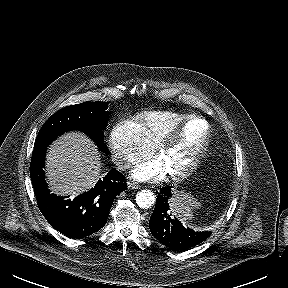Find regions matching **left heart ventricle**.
<instances>
[{
    "label": "left heart ventricle",
    "mask_w": 288,
    "mask_h": 288,
    "mask_svg": "<svg viewBox=\"0 0 288 288\" xmlns=\"http://www.w3.org/2000/svg\"><path fill=\"white\" fill-rule=\"evenodd\" d=\"M205 132L204 122L194 120L188 123L175 141L160 155L159 159L165 170L170 173L184 167L201 145Z\"/></svg>",
    "instance_id": "b2bd125f"
}]
</instances>
